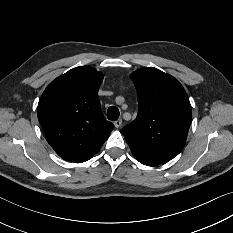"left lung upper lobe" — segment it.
<instances>
[{"label": "left lung upper lobe", "mask_w": 233, "mask_h": 233, "mask_svg": "<svg viewBox=\"0 0 233 233\" xmlns=\"http://www.w3.org/2000/svg\"><path fill=\"white\" fill-rule=\"evenodd\" d=\"M137 90L136 119L122 129L128 144L171 160L183 149L191 124V105L180 82L153 67L130 75Z\"/></svg>", "instance_id": "obj_1"}]
</instances>
